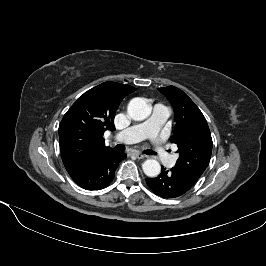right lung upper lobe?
I'll return each instance as SVG.
<instances>
[{
    "label": "right lung upper lobe",
    "mask_w": 266,
    "mask_h": 266,
    "mask_svg": "<svg viewBox=\"0 0 266 266\" xmlns=\"http://www.w3.org/2000/svg\"><path fill=\"white\" fill-rule=\"evenodd\" d=\"M136 89L112 81L85 92L65 113L59 126L62 161L69 174L90 161L114 151L105 146L103 134L113 131L115 112Z\"/></svg>",
    "instance_id": "obj_1"
}]
</instances>
